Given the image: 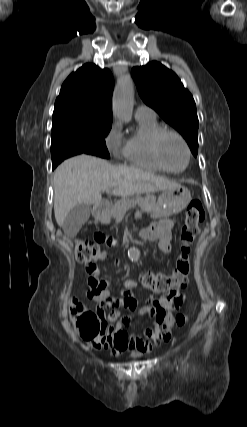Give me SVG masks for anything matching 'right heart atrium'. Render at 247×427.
I'll return each instance as SVG.
<instances>
[{
  "label": "right heart atrium",
  "instance_id": "d8ad5b80",
  "mask_svg": "<svg viewBox=\"0 0 247 427\" xmlns=\"http://www.w3.org/2000/svg\"><path fill=\"white\" fill-rule=\"evenodd\" d=\"M105 146L113 154L118 155L122 153V134L121 126L118 122H114L109 128L105 136Z\"/></svg>",
  "mask_w": 247,
  "mask_h": 427
}]
</instances>
